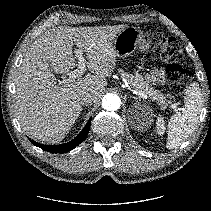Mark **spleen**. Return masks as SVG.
I'll list each match as a JSON object with an SVG mask.
<instances>
[{
	"label": "spleen",
	"mask_w": 211,
	"mask_h": 211,
	"mask_svg": "<svg viewBox=\"0 0 211 211\" xmlns=\"http://www.w3.org/2000/svg\"><path fill=\"white\" fill-rule=\"evenodd\" d=\"M184 103L183 111L174 114L168 123L167 149L179 147L196 129L203 105V95L198 83L190 84Z\"/></svg>",
	"instance_id": "obj_1"
}]
</instances>
